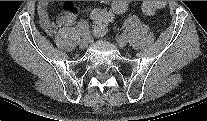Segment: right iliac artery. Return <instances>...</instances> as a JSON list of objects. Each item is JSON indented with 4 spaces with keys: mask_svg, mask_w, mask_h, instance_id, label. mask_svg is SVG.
I'll list each match as a JSON object with an SVG mask.
<instances>
[{
    "mask_svg": "<svg viewBox=\"0 0 207 121\" xmlns=\"http://www.w3.org/2000/svg\"><path fill=\"white\" fill-rule=\"evenodd\" d=\"M88 24L86 21H82L81 23H79L78 25V31H79V34L82 36V37H85L87 34H88Z\"/></svg>",
    "mask_w": 207,
    "mask_h": 121,
    "instance_id": "1",
    "label": "right iliac artery"
}]
</instances>
